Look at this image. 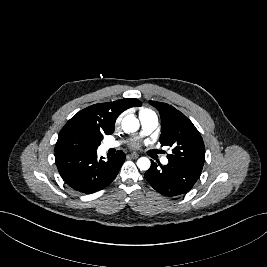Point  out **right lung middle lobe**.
Segmentation results:
<instances>
[{
  "label": "right lung middle lobe",
  "mask_w": 267,
  "mask_h": 267,
  "mask_svg": "<svg viewBox=\"0 0 267 267\" xmlns=\"http://www.w3.org/2000/svg\"><path fill=\"white\" fill-rule=\"evenodd\" d=\"M104 134L98 130L63 127L55 145V153L95 151Z\"/></svg>",
  "instance_id": "dd1d6c3e"
}]
</instances>
